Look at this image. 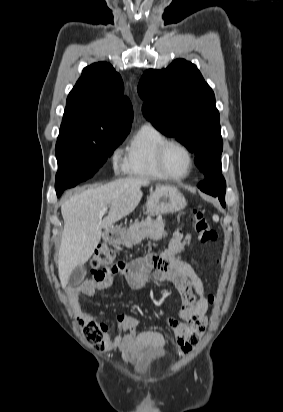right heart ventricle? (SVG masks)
<instances>
[{
    "mask_svg": "<svg viewBox=\"0 0 283 412\" xmlns=\"http://www.w3.org/2000/svg\"><path fill=\"white\" fill-rule=\"evenodd\" d=\"M169 137L156 126L145 123L128 142L120 161L122 170L130 175L163 178L157 166V153Z\"/></svg>",
    "mask_w": 283,
    "mask_h": 412,
    "instance_id": "e07e8e85",
    "label": "right heart ventricle"
}]
</instances>
